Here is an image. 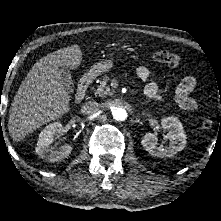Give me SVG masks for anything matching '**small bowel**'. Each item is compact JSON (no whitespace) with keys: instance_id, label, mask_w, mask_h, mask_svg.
Instances as JSON below:
<instances>
[{"instance_id":"1","label":"small bowel","mask_w":221,"mask_h":221,"mask_svg":"<svg viewBox=\"0 0 221 221\" xmlns=\"http://www.w3.org/2000/svg\"><path fill=\"white\" fill-rule=\"evenodd\" d=\"M136 74L138 78L143 81L149 79L151 72L150 69L146 66H139L136 69ZM196 79L193 76H186L180 82L175 91V101L177 104L188 111H195L199 108V103L196 99L191 96V93L196 87ZM144 96L148 100L160 101L162 100V94L156 83H149L144 89Z\"/></svg>"}]
</instances>
